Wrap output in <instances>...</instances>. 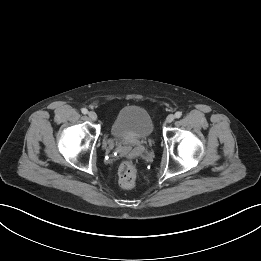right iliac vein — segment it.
Listing matches in <instances>:
<instances>
[{
  "label": "right iliac vein",
  "mask_w": 261,
  "mask_h": 261,
  "mask_svg": "<svg viewBox=\"0 0 261 261\" xmlns=\"http://www.w3.org/2000/svg\"><path fill=\"white\" fill-rule=\"evenodd\" d=\"M88 116H89L90 120H92V121H96L97 120V114L94 111H90L88 113Z\"/></svg>",
  "instance_id": "1"
}]
</instances>
